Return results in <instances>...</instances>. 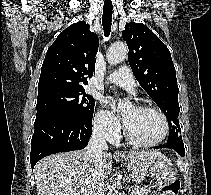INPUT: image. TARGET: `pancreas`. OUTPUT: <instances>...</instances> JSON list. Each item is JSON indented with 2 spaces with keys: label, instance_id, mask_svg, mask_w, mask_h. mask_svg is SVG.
Instances as JSON below:
<instances>
[{
  "label": "pancreas",
  "instance_id": "obj_1",
  "mask_svg": "<svg viewBox=\"0 0 211 195\" xmlns=\"http://www.w3.org/2000/svg\"><path fill=\"white\" fill-rule=\"evenodd\" d=\"M150 188L144 187V188H135L134 193L135 195H148Z\"/></svg>",
  "mask_w": 211,
  "mask_h": 195
}]
</instances>
